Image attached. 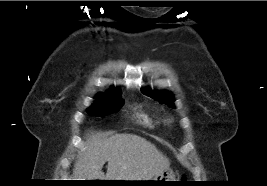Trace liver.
<instances>
[{
	"mask_svg": "<svg viewBox=\"0 0 267 186\" xmlns=\"http://www.w3.org/2000/svg\"><path fill=\"white\" fill-rule=\"evenodd\" d=\"M108 162L107 173L102 171ZM170 166L169 160L146 139L133 134L101 138L91 134L73 169L75 180L147 181Z\"/></svg>",
	"mask_w": 267,
	"mask_h": 186,
	"instance_id": "6515ba94",
	"label": "liver"
}]
</instances>
